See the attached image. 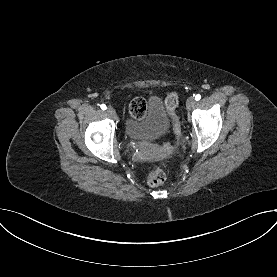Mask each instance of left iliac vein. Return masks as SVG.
<instances>
[{
  "mask_svg": "<svg viewBox=\"0 0 277 277\" xmlns=\"http://www.w3.org/2000/svg\"><path fill=\"white\" fill-rule=\"evenodd\" d=\"M195 106V99L194 97H189L186 101V107L188 110H191Z\"/></svg>",
  "mask_w": 277,
  "mask_h": 277,
  "instance_id": "left-iliac-vein-1",
  "label": "left iliac vein"
}]
</instances>
